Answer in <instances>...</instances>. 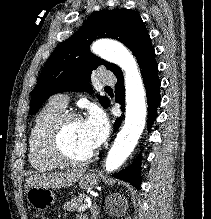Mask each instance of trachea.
<instances>
[{
  "label": "trachea",
  "instance_id": "trachea-1",
  "mask_svg": "<svg viewBox=\"0 0 211 219\" xmlns=\"http://www.w3.org/2000/svg\"><path fill=\"white\" fill-rule=\"evenodd\" d=\"M105 89H108V90H109V89H111V87H109V86H106V87H105Z\"/></svg>",
  "mask_w": 211,
  "mask_h": 219
}]
</instances>
